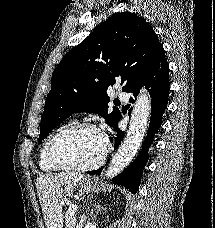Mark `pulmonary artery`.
I'll return each instance as SVG.
<instances>
[{
  "label": "pulmonary artery",
  "instance_id": "e3ab8cb5",
  "mask_svg": "<svg viewBox=\"0 0 215 228\" xmlns=\"http://www.w3.org/2000/svg\"><path fill=\"white\" fill-rule=\"evenodd\" d=\"M123 89H125V84H114V89L111 90V93L114 96H121L118 98L119 102H130L131 98L122 93Z\"/></svg>",
  "mask_w": 215,
  "mask_h": 228
}]
</instances>
